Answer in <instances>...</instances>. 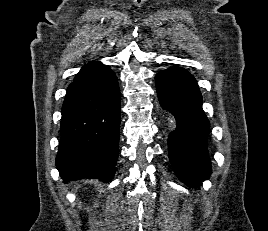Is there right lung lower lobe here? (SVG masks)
I'll use <instances>...</instances> for the list:
<instances>
[{
  "mask_svg": "<svg viewBox=\"0 0 268 231\" xmlns=\"http://www.w3.org/2000/svg\"><path fill=\"white\" fill-rule=\"evenodd\" d=\"M56 166L64 182L108 183L114 176L120 134V89L115 73L98 62L69 85L62 105Z\"/></svg>",
  "mask_w": 268,
  "mask_h": 231,
  "instance_id": "1",
  "label": "right lung lower lobe"
}]
</instances>
